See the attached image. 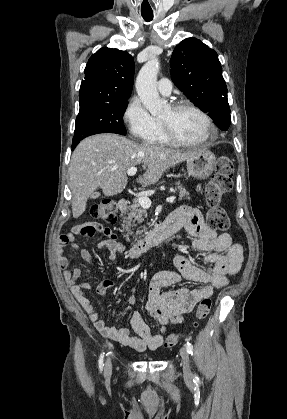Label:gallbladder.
<instances>
[{"label": "gallbladder", "mask_w": 287, "mask_h": 419, "mask_svg": "<svg viewBox=\"0 0 287 419\" xmlns=\"http://www.w3.org/2000/svg\"><path fill=\"white\" fill-rule=\"evenodd\" d=\"M100 196V193L99 192H93L91 195H90V198L91 199H96V198H98Z\"/></svg>", "instance_id": "obj_1"}]
</instances>
